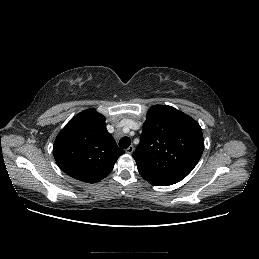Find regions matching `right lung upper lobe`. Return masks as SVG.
<instances>
[{
    "label": "right lung upper lobe",
    "mask_w": 259,
    "mask_h": 259,
    "mask_svg": "<svg viewBox=\"0 0 259 259\" xmlns=\"http://www.w3.org/2000/svg\"><path fill=\"white\" fill-rule=\"evenodd\" d=\"M53 154L66 174L95 183L110 174L124 150L107 131L105 117L92 108L67 123L56 137Z\"/></svg>",
    "instance_id": "right-lung-upper-lobe-1"
}]
</instances>
